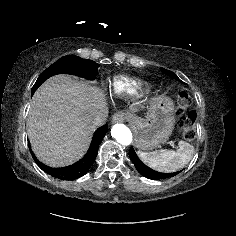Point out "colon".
I'll return each instance as SVG.
<instances>
[{
	"label": "colon",
	"mask_w": 236,
	"mask_h": 236,
	"mask_svg": "<svg viewBox=\"0 0 236 236\" xmlns=\"http://www.w3.org/2000/svg\"><path fill=\"white\" fill-rule=\"evenodd\" d=\"M192 106V99L186 91H181L177 100V111L179 114V126L183 137L187 140L195 138V120L196 115L189 111Z\"/></svg>",
	"instance_id": "5ec220e1"
}]
</instances>
